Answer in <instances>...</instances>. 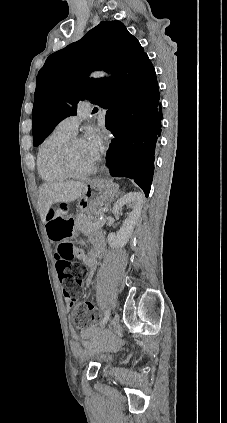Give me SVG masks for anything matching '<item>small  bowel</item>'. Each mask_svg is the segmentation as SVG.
Here are the masks:
<instances>
[{
    "instance_id": "small-bowel-1",
    "label": "small bowel",
    "mask_w": 227,
    "mask_h": 423,
    "mask_svg": "<svg viewBox=\"0 0 227 423\" xmlns=\"http://www.w3.org/2000/svg\"><path fill=\"white\" fill-rule=\"evenodd\" d=\"M62 222H70V220L62 218V217H55L52 220H48V222L46 223L47 234L52 241H54V238L52 237V234H51L53 227ZM86 264L90 268V270L93 271L97 265V257L87 259ZM65 301H66L67 310H71L76 302V300L68 299V298H65ZM81 335L84 339V345L89 346L94 342L95 338L100 335V330L93 327L82 329ZM109 339L111 340L112 338L109 337ZM73 351L76 355H81L83 352V346L78 341H75L73 343Z\"/></svg>"
}]
</instances>
